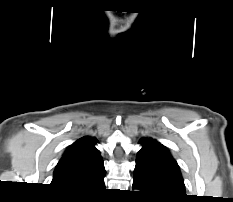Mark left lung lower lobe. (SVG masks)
<instances>
[{
	"label": "left lung lower lobe",
	"mask_w": 233,
	"mask_h": 202,
	"mask_svg": "<svg viewBox=\"0 0 233 202\" xmlns=\"http://www.w3.org/2000/svg\"><path fill=\"white\" fill-rule=\"evenodd\" d=\"M133 188H137V189H141L142 191H140L142 194H144L148 199L153 200V201H159V202H179L180 200H158L154 197H151L143 188V186H141L139 183H137L135 180L133 182Z\"/></svg>",
	"instance_id": "left-lung-lower-lobe-1"
}]
</instances>
